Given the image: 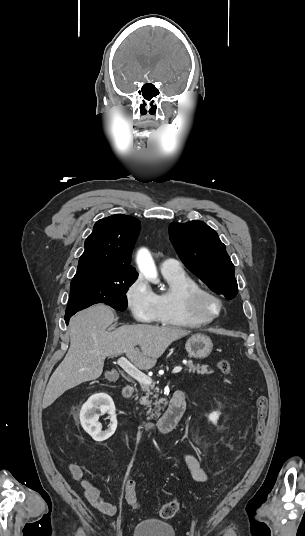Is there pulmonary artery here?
<instances>
[{
    "mask_svg": "<svg viewBox=\"0 0 305 536\" xmlns=\"http://www.w3.org/2000/svg\"><path fill=\"white\" fill-rule=\"evenodd\" d=\"M160 269L161 271H177L181 270L182 267L178 263V261L174 259H163L160 262Z\"/></svg>",
    "mask_w": 305,
    "mask_h": 536,
    "instance_id": "1",
    "label": "pulmonary artery"
}]
</instances>
